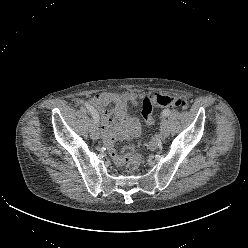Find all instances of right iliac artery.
<instances>
[{
    "label": "right iliac artery",
    "mask_w": 248,
    "mask_h": 248,
    "mask_svg": "<svg viewBox=\"0 0 248 248\" xmlns=\"http://www.w3.org/2000/svg\"><path fill=\"white\" fill-rule=\"evenodd\" d=\"M85 107L88 109V111L91 113L94 121L97 123L99 121V115L96 109L94 107L90 106L89 104L85 103Z\"/></svg>",
    "instance_id": "1"
}]
</instances>
